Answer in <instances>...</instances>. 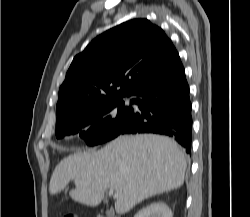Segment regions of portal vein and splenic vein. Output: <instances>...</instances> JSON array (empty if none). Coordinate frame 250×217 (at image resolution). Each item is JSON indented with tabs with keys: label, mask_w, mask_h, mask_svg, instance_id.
I'll return each instance as SVG.
<instances>
[{
	"label": "portal vein and splenic vein",
	"mask_w": 250,
	"mask_h": 217,
	"mask_svg": "<svg viewBox=\"0 0 250 217\" xmlns=\"http://www.w3.org/2000/svg\"><path fill=\"white\" fill-rule=\"evenodd\" d=\"M113 193H114V189H113V188H110V189H109V196H113Z\"/></svg>",
	"instance_id": "18ae733b"
}]
</instances>
